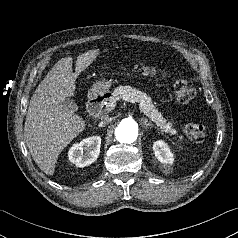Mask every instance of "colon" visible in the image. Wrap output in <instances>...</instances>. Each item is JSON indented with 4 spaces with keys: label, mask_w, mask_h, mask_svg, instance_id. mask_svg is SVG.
<instances>
[{
    "label": "colon",
    "mask_w": 238,
    "mask_h": 238,
    "mask_svg": "<svg viewBox=\"0 0 238 238\" xmlns=\"http://www.w3.org/2000/svg\"><path fill=\"white\" fill-rule=\"evenodd\" d=\"M133 70L137 73H141L147 76H155L156 70L142 64H136ZM174 94L179 103L187 104L193 100L196 95L195 88L186 83L185 81H176L174 83ZM183 131L185 135L196 143H201L205 138V129L203 125L198 123H187Z\"/></svg>",
    "instance_id": "colon-1"
}]
</instances>
